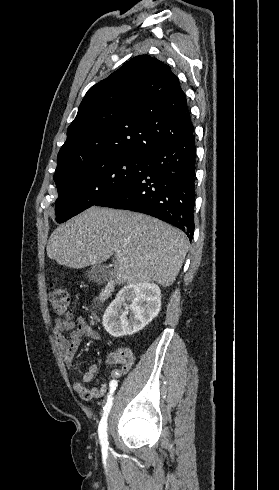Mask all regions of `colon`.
Returning a JSON list of instances; mask_svg holds the SVG:
<instances>
[{
    "instance_id": "obj_1",
    "label": "colon",
    "mask_w": 279,
    "mask_h": 490,
    "mask_svg": "<svg viewBox=\"0 0 279 490\" xmlns=\"http://www.w3.org/2000/svg\"><path fill=\"white\" fill-rule=\"evenodd\" d=\"M48 301L53 311L59 317L66 319H69L71 317L68 292L63 287L54 286L48 295Z\"/></svg>"
}]
</instances>
